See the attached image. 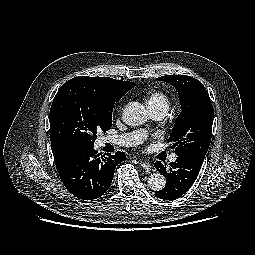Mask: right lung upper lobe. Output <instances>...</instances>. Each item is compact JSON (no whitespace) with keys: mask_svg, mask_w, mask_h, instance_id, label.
<instances>
[{"mask_svg":"<svg viewBox=\"0 0 255 255\" xmlns=\"http://www.w3.org/2000/svg\"><path fill=\"white\" fill-rule=\"evenodd\" d=\"M111 84L118 88V87H131L133 88L135 86L134 82H127V81H121V80H115L113 79Z\"/></svg>","mask_w":255,"mask_h":255,"instance_id":"right-lung-upper-lobe-1","label":"right lung upper lobe"}]
</instances>
